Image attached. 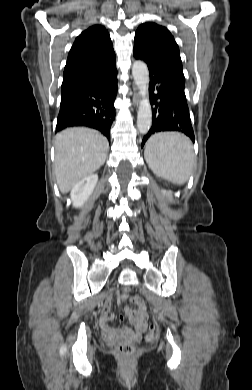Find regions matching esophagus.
Returning a JSON list of instances; mask_svg holds the SVG:
<instances>
[{
    "instance_id": "esophagus-1",
    "label": "esophagus",
    "mask_w": 252,
    "mask_h": 390,
    "mask_svg": "<svg viewBox=\"0 0 252 390\" xmlns=\"http://www.w3.org/2000/svg\"><path fill=\"white\" fill-rule=\"evenodd\" d=\"M133 103L135 106H137L139 103V97H138V94L136 91L134 92V95H133Z\"/></svg>"
}]
</instances>
